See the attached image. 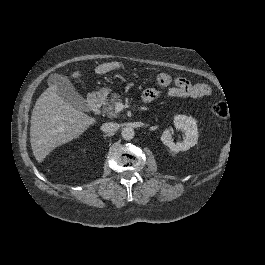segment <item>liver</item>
<instances>
[{
    "instance_id": "1",
    "label": "liver",
    "mask_w": 265,
    "mask_h": 265,
    "mask_svg": "<svg viewBox=\"0 0 265 265\" xmlns=\"http://www.w3.org/2000/svg\"><path fill=\"white\" fill-rule=\"evenodd\" d=\"M120 62L98 65L96 74L122 67ZM81 76L79 71L73 78ZM57 86L47 88L37 99L31 116L30 143L35 159L41 163L56 147L78 138L95 119L75 109L57 95Z\"/></svg>"
}]
</instances>
